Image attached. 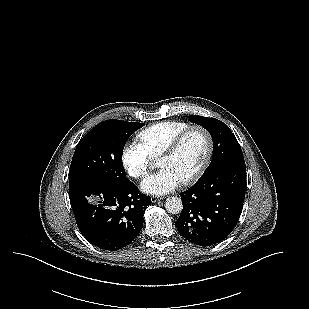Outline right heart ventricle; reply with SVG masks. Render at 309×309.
<instances>
[{
    "instance_id": "e07e8e85",
    "label": "right heart ventricle",
    "mask_w": 309,
    "mask_h": 309,
    "mask_svg": "<svg viewBox=\"0 0 309 309\" xmlns=\"http://www.w3.org/2000/svg\"><path fill=\"white\" fill-rule=\"evenodd\" d=\"M188 127L190 124L183 121H163L141 130L137 138L154 158L160 156L173 139Z\"/></svg>"
}]
</instances>
